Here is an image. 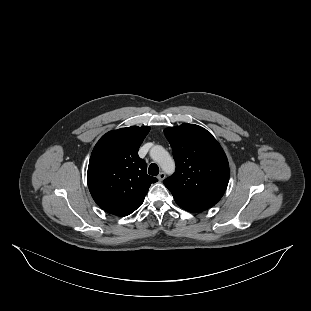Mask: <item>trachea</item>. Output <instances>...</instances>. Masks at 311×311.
<instances>
[{
	"label": "trachea",
	"instance_id": "trachea-1",
	"mask_svg": "<svg viewBox=\"0 0 311 311\" xmlns=\"http://www.w3.org/2000/svg\"><path fill=\"white\" fill-rule=\"evenodd\" d=\"M148 173L153 176H157L159 174V167L157 164L152 163L148 168Z\"/></svg>",
	"mask_w": 311,
	"mask_h": 311
}]
</instances>
